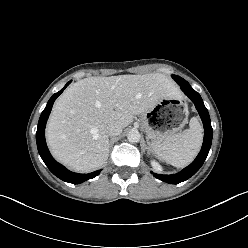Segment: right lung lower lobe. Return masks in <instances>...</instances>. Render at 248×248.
Listing matches in <instances>:
<instances>
[{"mask_svg": "<svg viewBox=\"0 0 248 248\" xmlns=\"http://www.w3.org/2000/svg\"><path fill=\"white\" fill-rule=\"evenodd\" d=\"M70 83L71 81H69L61 91L55 93L48 101L38 122V129L36 132V142H37L38 152L42 160L44 161V163L47 165L49 170L55 176H57L63 181H66L72 184H80L88 179H92L96 177L100 173L101 170H98V171H95L89 174H78V173H74V172L67 170L64 166H62L61 164H59L58 162L54 160V158L51 156L47 148L46 141H45V126H46V122L49 117V114L51 112L53 103L56 100V98L63 92V90Z\"/></svg>", "mask_w": 248, "mask_h": 248, "instance_id": "98d812e1", "label": "right lung lower lobe"}]
</instances>
